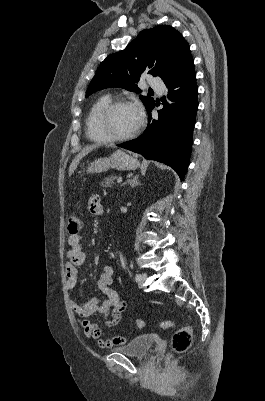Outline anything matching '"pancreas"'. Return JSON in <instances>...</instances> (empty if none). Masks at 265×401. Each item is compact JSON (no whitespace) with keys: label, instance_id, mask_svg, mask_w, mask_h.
Returning <instances> with one entry per match:
<instances>
[{"label":"pancreas","instance_id":"1","mask_svg":"<svg viewBox=\"0 0 265 401\" xmlns=\"http://www.w3.org/2000/svg\"><path fill=\"white\" fill-rule=\"evenodd\" d=\"M115 178H118V176H114V174H110L108 178H103L101 182V186H112Z\"/></svg>","mask_w":265,"mask_h":401}]
</instances>
